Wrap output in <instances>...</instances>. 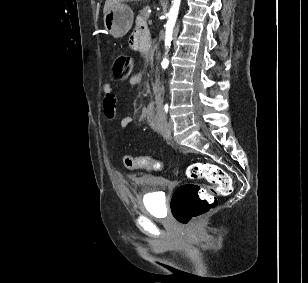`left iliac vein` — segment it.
Returning <instances> with one entry per match:
<instances>
[{
    "instance_id": "left-iliac-vein-1",
    "label": "left iliac vein",
    "mask_w": 308,
    "mask_h": 283,
    "mask_svg": "<svg viewBox=\"0 0 308 283\" xmlns=\"http://www.w3.org/2000/svg\"><path fill=\"white\" fill-rule=\"evenodd\" d=\"M173 128H174V124L173 122L170 120V121H166L164 123V126H163V134L165 137L167 138H170L171 137V133L173 131Z\"/></svg>"
}]
</instances>
